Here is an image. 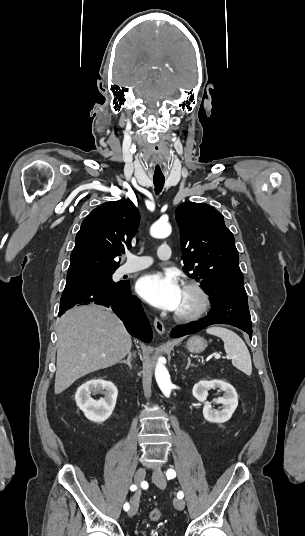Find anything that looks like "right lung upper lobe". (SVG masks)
<instances>
[{"label":"right lung upper lobe","mask_w":305,"mask_h":536,"mask_svg":"<svg viewBox=\"0 0 305 536\" xmlns=\"http://www.w3.org/2000/svg\"><path fill=\"white\" fill-rule=\"evenodd\" d=\"M139 221V212L128 199L94 209L76 235L67 278L116 270L115 257L131 247Z\"/></svg>","instance_id":"right-lung-upper-lobe-1"}]
</instances>
